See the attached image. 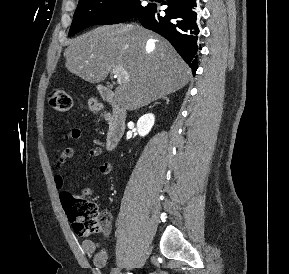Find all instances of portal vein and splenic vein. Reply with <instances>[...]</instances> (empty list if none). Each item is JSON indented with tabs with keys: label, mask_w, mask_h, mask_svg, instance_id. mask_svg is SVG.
<instances>
[{
	"label": "portal vein and splenic vein",
	"mask_w": 289,
	"mask_h": 274,
	"mask_svg": "<svg viewBox=\"0 0 289 274\" xmlns=\"http://www.w3.org/2000/svg\"><path fill=\"white\" fill-rule=\"evenodd\" d=\"M112 73L117 78L118 84H121L122 82L128 79V75L124 71L123 67H120V66L113 67Z\"/></svg>",
	"instance_id": "1"
}]
</instances>
